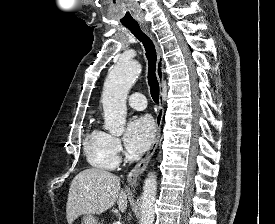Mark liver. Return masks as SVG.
Wrapping results in <instances>:
<instances>
[{"instance_id": "6515ba94", "label": "liver", "mask_w": 275, "mask_h": 224, "mask_svg": "<svg viewBox=\"0 0 275 224\" xmlns=\"http://www.w3.org/2000/svg\"><path fill=\"white\" fill-rule=\"evenodd\" d=\"M117 202L118 209L127 208V194L121 189L120 178L108 171L90 168L72 180L66 205V218L72 224L80 215L102 214Z\"/></svg>"}]
</instances>
